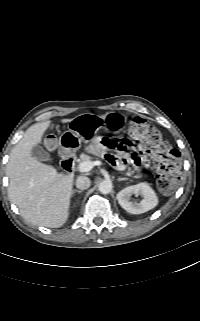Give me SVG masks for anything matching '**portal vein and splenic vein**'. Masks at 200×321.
Returning a JSON list of instances; mask_svg holds the SVG:
<instances>
[{
  "instance_id": "obj_1",
  "label": "portal vein and splenic vein",
  "mask_w": 200,
  "mask_h": 321,
  "mask_svg": "<svg viewBox=\"0 0 200 321\" xmlns=\"http://www.w3.org/2000/svg\"><path fill=\"white\" fill-rule=\"evenodd\" d=\"M102 162L101 161H86V162H82L78 165V171L80 172H88L90 171L94 166L96 165H101Z\"/></svg>"
}]
</instances>
